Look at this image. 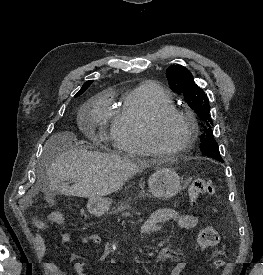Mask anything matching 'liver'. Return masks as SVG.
Here are the masks:
<instances>
[{
    "label": "liver",
    "mask_w": 263,
    "mask_h": 275,
    "mask_svg": "<svg viewBox=\"0 0 263 275\" xmlns=\"http://www.w3.org/2000/svg\"><path fill=\"white\" fill-rule=\"evenodd\" d=\"M77 139L72 132L53 135L45 145L53 149L54 159L46 170V190L66 196L101 198L119 190L123 184L147 162H132L120 156L77 149ZM68 180L74 185L69 186Z\"/></svg>",
    "instance_id": "1"
}]
</instances>
